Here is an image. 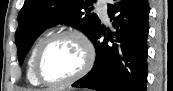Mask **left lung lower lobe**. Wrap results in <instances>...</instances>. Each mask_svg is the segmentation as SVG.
Wrapping results in <instances>:
<instances>
[{"label": "left lung lower lobe", "instance_id": "obj_1", "mask_svg": "<svg viewBox=\"0 0 173 91\" xmlns=\"http://www.w3.org/2000/svg\"><path fill=\"white\" fill-rule=\"evenodd\" d=\"M148 0H114L108 7L112 30L98 25L91 41L97 57L92 70L73 87L98 91H146ZM107 38L100 41L101 35Z\"/></svg>", "mask_w": 173, "mask_h": 91}]
</instances>
